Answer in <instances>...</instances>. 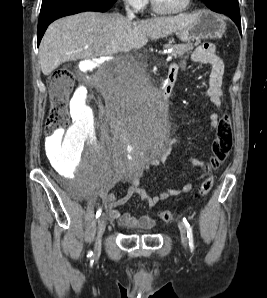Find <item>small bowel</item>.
Masks as SVG:
<instances>
[{"label":"small bowel","instance_id":"small-bowel-1","mask_svg":"<svg viewBox=\"0 0 267 298\" xmlns=\"http://www.w3.org/2000/svg\"><path fill=\"white\" fill-rule=\"evenodd\" d=\"M191 59L195 62L207 64L210 67L207 88L203 92V95L208 98L210 103L216 109L219 110L223 104V60L216 53L214 45L210 43H205L198 46L192 53ZM170 67L178 73L180 65L178 63H174ZM220 119L221 116L218 113H211L208 116L209 126L211 128L217 129ZM74 137V135H69L67 132L57 131L53 136H51L50 142L52 144H57L66 139L72 141ZM193 163L197 166L203 165V162L198 159H193ZM151 166H156V164L154 163ZM140 178V172L134 174L119 175L117 177V180H127L130 184L127 193L122 198H117L112 192H110V188L113 183L102 188L99 192L93 194L95 196H98L102 200L108 211L109 218L111 220H118L121 226L126 228L149 230L152 229L156 224L155 216L142 215L138 217L128 212L121 213L118 210V207L127 203L134 194L139 195L148 206L154 207L159 202L165 201L171 196H175L181 193H188L192 189L191 183L188 182L180 189H166L158 194L150 195L144 188L140 186Z\"/></svg>","mask_w":267,"mask_h":298}]
</instances>
